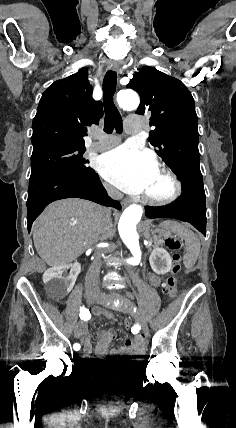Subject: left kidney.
<instances>
[{"instance_id":"5707ae66","label":"left kidney","mask_w":236,"mask_h":428,"mask_svg":"<svg viewBox=\"0 0 236 428\" xmlns=\"http://www.w3.org/2000/svg\"><path fill=\"white\" fill-rule=\"evenodd\" d=\"M150 266L155 274H167L170 272L172 260L170 254L164 248H154L150 258Z\"/></svg>"}]
</instances>
